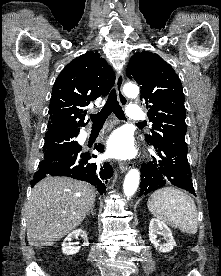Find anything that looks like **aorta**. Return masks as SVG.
Instances as JSON below:
<instances>
[{"mask_svg":"<svg viewBox=\"0 0 221 276\" xmlns=\"http://www.w3.org/2000/svg\"><path fill=\"white\" fill-rule=\"evenodd\" d=\"M126 96L135 98L139 95V88L135 84H126L123 88ZM140 173L137 169H131L124 180L123 190L127 197L135 194L139 185Z\"/></svg>","mask_w":221,"mask_h":276,"instance_id":"aorta-1","label":"aorta"}]
</instances>
